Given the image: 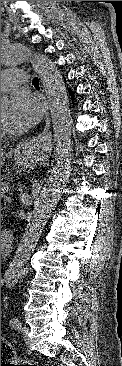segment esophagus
<instances>
[{"label":"esophagus","instance_id":"1","mask_svg":"<svg viewBox=\"0 0 122 366\" xmlns=\"http://www.w3.org/2000/svg\"><path fill=\"white\" fill-rule=\"evenodd\" d=\"M46 121H47V122H49L48 114L46 115ZM49 134H50V131H49V127L47 126V127L44 129V131H43L42 135H43V136H48ZM45 143H46V142H43V144H42V145H45Z\"/></svg>","mask_w":122,"mask_h":366}]
</instances>
